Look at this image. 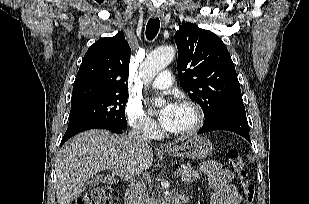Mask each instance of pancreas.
<instances>
[{
	"label": "pancreas",
	"instance_id": "pancreas-1",
	"mask_svg": "<svg viewBox=\"0 0 309 204\" xmlns=\"http://www.w3.org/2000/svg\"><path fill=\"white\" fill-rule=\"evenodd\" d=\"M178 172L182 176V180L185 182H193L199 178V173H197L190 165L178 170Z\"/></svg>",
	"mask_w": 309,
	"mask_h": 204
}]
</instances>
